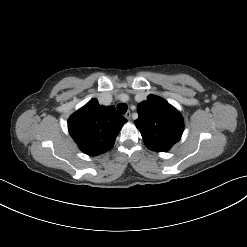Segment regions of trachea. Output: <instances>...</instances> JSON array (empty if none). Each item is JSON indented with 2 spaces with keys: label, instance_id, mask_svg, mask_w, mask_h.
Instances as JSON below:
<instances>
[{
  "label": "trachea",
  "instance_id": "1",
  "mask_svg": "<svg viewBox=\"0 0 247 247\" xmlns=\"http://www.w3.org/2000/svg\"><path fill=\"white\" fill-rule=\"evenodd\" d=\"M128 106L125 103H120L117 105V110L120 114H124L127 112Z\"/></svg>",
  "mask_w": 247,
  "mask_h": 247
}]
</instances>
